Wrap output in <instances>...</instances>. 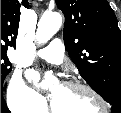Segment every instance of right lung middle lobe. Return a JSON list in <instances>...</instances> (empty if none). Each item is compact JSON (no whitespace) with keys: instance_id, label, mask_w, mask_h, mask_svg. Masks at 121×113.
I'll return each mask as SVG.
<instances>
[{"instance_id":"1","label":"right lung middle lobe","mask_w":121,"mask_h":113,"mask_svg":"<svg viewBox=\"0 0 121 113\" xmlns=\"http://www.w3.org/2000/svg\"><path fill=\"white\" fill-rule=\"evenodd\" d=\"M11 66L6 52H1V97H3L4 81L6 76L11 72Z\"/></svg>"}]
</instances>
